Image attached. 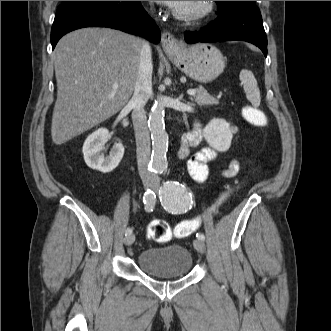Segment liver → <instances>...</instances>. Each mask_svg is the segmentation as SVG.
Wrapping results in <instances>:
<instances>
[{"mask_svg": "<svg viewBox=\"0 0 331 331\" xmlns=\"http://www.w3.org/2000/svg\"><path fill=\"white\" fill-rule=\"evenodd\" d=\"M142 40L109 28H82L54 50L57 100L51 136L61 145L119 112L138 76ZM118 84L113 89V84Z\"/></svg>", "mask_w": 331, "mask_h": 331, "instance_id": "obj_1", "label": "liver"}]
</instances>
